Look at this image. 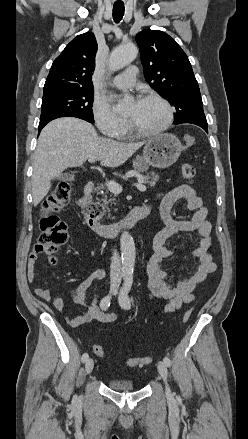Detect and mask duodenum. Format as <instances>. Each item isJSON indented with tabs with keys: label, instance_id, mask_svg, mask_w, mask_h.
Segmentation results:
<instances>
[{
	"label": "duodenum",
	"instance_id": "410a0bca",
	"mask_svg": "<svg viewBox=\"0 0 248 439\" xmlns=\"http://www.w3.org/2000/svg\"><path fill=\"white\" fill-rule=\"evenodd\" d=\"M96 191V185L92 181H88L78 205L81 214L87 226L96 234L101 236H115L130 228L138 221L146 218L150 213V209L145 206H137L132 208L129 213L120 221L114 223L100 222L101 208L91 201L93 193Z\"/></svg>",
	"mask_w": 248,
	"mask_h": 439
}]
</instances>
